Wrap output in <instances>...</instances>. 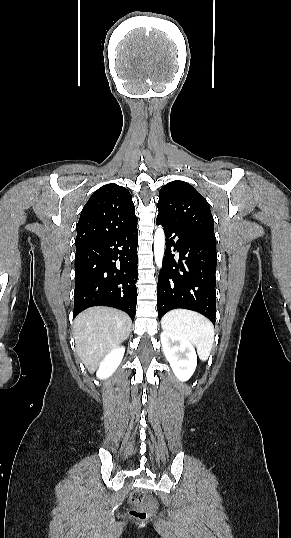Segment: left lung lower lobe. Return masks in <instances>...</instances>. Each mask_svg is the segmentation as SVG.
<instances>
[{"label":"left lung lower lobe","mask_w":291,"mask_h":538,"mask_svg":"<svg viewBox=\"0 0 291 538\" xmlns=\"http://www.w3.org/2000/svg\"><path fill=\"white\" fill-rule=\"evenodd\" d=\"M166 236L163 267L157 284L159 319L168 311L184 308L197 311L215 324L216 238L177 228L159 217ZM177 238V241H174ZM179 252V260L171 251Z\"/></svg>","instance_id":"left-lung-lower-lobe-1"}]
</instances>
